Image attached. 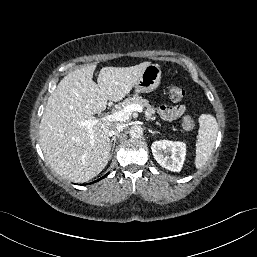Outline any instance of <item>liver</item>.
I'll use <instances>...</instances> for the list:
<instances>
[{
	"label": "liver",
	"mask_w": 257,
	"mask_h": 257,
	"mask_svg": "<svg viewBox=\"0 0 257 257\" xmlns=\"http://www.w3.org/2000/svg\"><path fill=\"white\" fill-rule=\"evenodd\" d=\"M150 64L103 67L98 84L93 81L96 64H91L70 72L59 82L48 98L39 126L41 149L56 173L80 183L105 168L111 150L108 131L113 124L100 120L93 125L92 141L81 122L105 110L108 100H122Z\"/></svg>",
	"instance_id": "1"
}]
</instances>
